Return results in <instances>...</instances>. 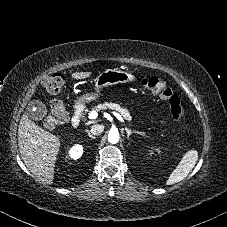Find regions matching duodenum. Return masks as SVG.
Masks as SVG:
<instances>
[{"mask_svg": "<svg viewBox=\"0 0 227 227\" xmlns=\"http://www.w3.org/2000/svg\"><path fill=\"white\" fill-rule=\"evenodd\" d=\"M84 115V107L81 104H76L74 107V115L72 118V126L78 128L81 124Z\"/></svg>", "mask_w": 227, "mask_h": 227, "instance_id": "1", "label": "duodenum"}]
</instances>
